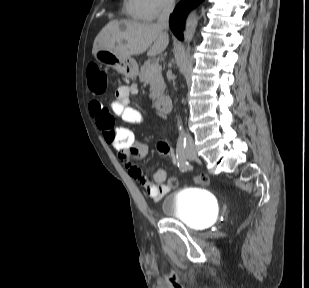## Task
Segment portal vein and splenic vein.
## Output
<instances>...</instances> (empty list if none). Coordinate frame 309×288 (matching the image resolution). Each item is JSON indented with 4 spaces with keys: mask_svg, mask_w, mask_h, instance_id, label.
I'll use <instances>...</instances> for the list:
<instances>
[{
    "mask_svg": "<svg viewBox=\"0 0 309 288\" xmlns=\"http://www.w3.org/2000/svg\"><path fill=\"white\" fill-rule=\"evenodd\" d=\"M157 70H161V66L158 63H154L151 67H150V71L151 72H155Z\"/></svg>",
    "mask_w": 309,
    "mask_h": 288,
    "instance_id": "18ae733b",
    "label": "portal vein and splenic vein"
}]
</instances>
